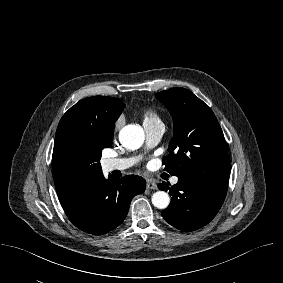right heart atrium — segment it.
<instances>
[{"instance_id": "d8ad5b80", "label": "right heart atrium", "mask_w": 283, "mask_h": 283, "mask_svg": "<svg viewBox=\"0 0 283 283\" xmlns=\"http://www.w3.org/2000/svg\"><path fill=\"white\" fill-rule=\"evenodd\" d=\"M123 122H124V119H123L122 117H120V118L116 121L115 129H116V130H119V129L121 128Z\"/></svg>"}]
</instances>
